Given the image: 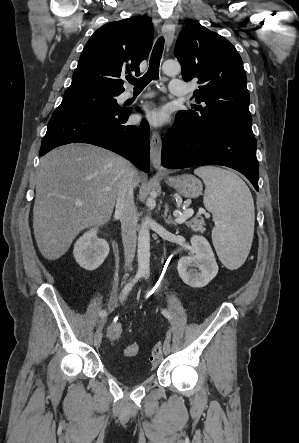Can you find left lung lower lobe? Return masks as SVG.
I'll return each instance as SVG.
<instances>
[{
  "label": "left lung lower lobe",
  "instance_id": "obj_1",
  "mask_svg": "<svg viewBox=\"0 0 299 443\" xmlns=\"http://www.w3.org/2000/svg\"><path fill=\"white\" fill-rule=\"evenodd\" d=\"M162 165L179 169L222 165L245 175L258 191L256 140L252 129L217 127L203 129L176 114L162 143Z\"/></svg>",
  "mask_w": 299,
  "mask_h": 443
}]
</instances>
